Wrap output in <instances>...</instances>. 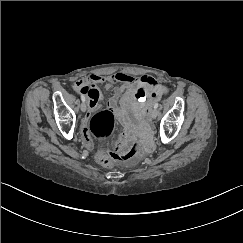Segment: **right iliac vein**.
I'll return each instance as SVG.
<instances>
[{
	"label": "right iliac vein",
	"mask_w": 243,
	"mask_h": 243,
	"mask_svg": "<svg viewBox=\"0 0 243 243\" xmlns=\"http://www.w3.org/2000/svg\"><path fill=\"white\" fill-rule=\"evenodd\" d=\"M86 109H87L86 103L85 102H82V104H81V111L82 112H85Z\"/></svg>",
	"instance_id": "1"
}]
</instances>
